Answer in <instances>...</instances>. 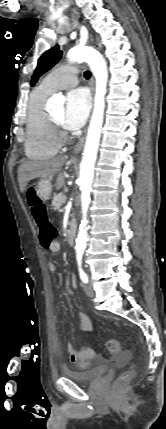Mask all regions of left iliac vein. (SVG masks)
I'll list each match as a JSON object with an SVG mask.
<instances>
[{
	"label": "left iliac vein",
	"mask_w": 166,
	"mask_h": 429,
	"mask_svg": "<svg viewBox=\"0 0 166 429\" xmlns=\"http://www.w3.org/2000/svg\"><path fill=\"white\" fill-rule=\"evenodd\" d=\"M84 291L88 297H94L95 291L90 284L84 285Z\"/></svg>",
	"instance_id": "left-iliac-vein-1"
}]
</instances>
